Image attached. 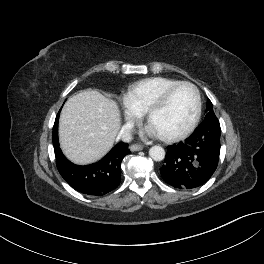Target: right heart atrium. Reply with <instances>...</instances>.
<instances>
[{
	"label": "right heart atrium",
	"instance_id": "right-heart-atrium-1",
	"mask_svg": "<svg viewBox=\"0 0 264 264\" xmlns=\"http://www.w3.org/2000/svg\"><path fill=\"white\" fill-rule=\"evenodd\" d=\"M126 107H127L126 108V119H127V121L134 122L141 117L142 113H140L137 110L129 107L128 105H126Z\"/></svg>",
	"mask_w": 264,
	"mask_h": 264
}]
</instances>
